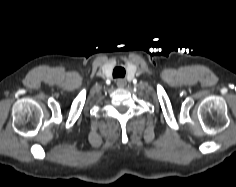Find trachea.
<instances>
[{"instance_id": "1", "label": "trachea", "mask_w": 236, "mask_h": 187, "mask_svg": "<svg viewBox=\"0 0 236 187\" xmlns=\"http://www.w3.org/2000/svg\"><path fill=\"white\" fill-rule=\"evenodd\" d=\"M125 76V69L123 67H115L113 70L114 78H123Z\"/></svg>"}]
</instances>
